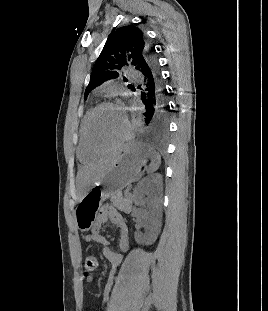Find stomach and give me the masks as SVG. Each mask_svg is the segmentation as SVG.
<instances>
[{
    "instance_id": "0dacf381",
    "label": "stomach",
    "mask_w": 268,
    "mask_h": 311,
    "mask_svg": "<svg viewBox=\"0 0 268 311\" xmlns=\"http://www.w3.org/2000/svg\"><path fill=\"white\" fill-rule=\"evenodd\" d=\"M148 157V148L135 146H127L118 154L105 175L91 186L75 209L76 227L81 232L92 228L103 201L141 178V168Z\"/></svg>"
}]
</instances>
